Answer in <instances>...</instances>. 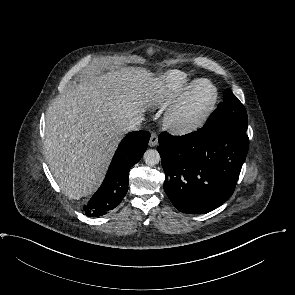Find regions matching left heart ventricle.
Returning a JSON list of instances; mask_svg holds the SVG:
<instances>
[{
  "mask_svg": "<svg viewBox=\"0 0 295 295\" xmlns=\"http://www.w3.org/2000/svg\"><path fill=\"white\" fill-rule=\"evenodd\" d=\"M213 97V89L208 83L200 84L192 93L183 111V118L190 120L201 115Z\"/></svg>",
  "mask_w": 295,
  "mask_h": 295,
  "instance_id": "obj_1",
  "label": "left heart ventricle"
}]
</instances>
